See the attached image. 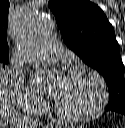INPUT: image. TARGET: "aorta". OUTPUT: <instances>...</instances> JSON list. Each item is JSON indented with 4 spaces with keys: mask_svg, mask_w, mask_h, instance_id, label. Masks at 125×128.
I'll return each mask as SVG.
<instances>
[{
    "mask_svg": "<svg viewBox=\"0 0 125 128\" xmlns=\"http://www.w3.org/2000/svg\"><path fill=\"white\" fill-rule=\"evenodd\" d=\"M53 21L47 16H29L22 21L17 43L22 54L31 55L51 33ZM39 79L45 80L40 74Z\"/></svg>",
    "mask_w": 125,
    "mask_h": 128,
    "instance_id": "762f6f07",
    "label": "aorta"
}]
</instances>
